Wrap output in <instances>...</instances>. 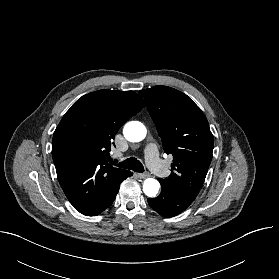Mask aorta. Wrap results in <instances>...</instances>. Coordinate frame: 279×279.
Wrapping results in <instances>:
<instances>
[{
  "label": "aorta",
  "instance_id": "1",
  "mask_svg": "<svg viewBox=\"0 0 279 279\" xmlns=\"http://www.w3.org/2000/svg\"><path fill=\"white\" fill-rule=\"evenodd\" d=\"M124 137L130 142H140L147 134L146 127L138 121L128 122L123 129ZM160 188V183L153 178H147L143 182V192L148 197H155Z\"/></svg>",
  "mask_w": 279,
  "mask_h": 279
}]
</instances>
